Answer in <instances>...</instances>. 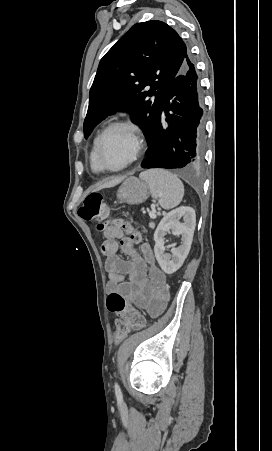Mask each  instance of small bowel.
Returning a JSON list of instances; mask_svg holds the SVG:
<instances>
[{"label":"small bowel","mask_w":272,"mask_h":451,"mask_svg":"<svg viewBox=\"0 0 272 451\" xmlns=\"http://www.w3.org/2000/svg\"><path fill=\"white\" fill-rule=\"evenodd\" d=\"M103 235L101 250L105 256L109 295H122L135 305L145 308L152 316L162 313L170 295L165 275L156 265L150 245L141 244L139 250H136L133 229L126 224L108 226ZM119 249L130 256V260H124L118 254Z\"/></svg>","instance_id":"small-bowel-1"}]
</instances>
